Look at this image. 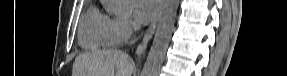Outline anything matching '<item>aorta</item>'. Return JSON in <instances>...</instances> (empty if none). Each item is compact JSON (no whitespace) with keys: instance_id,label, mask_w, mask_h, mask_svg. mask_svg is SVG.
<instances>
[{"instance_id":"aorta-1","label":"aorta","mask_w":287,"mask_h":76,"mask_svg":"<svg viewBox=\"0 0 287 76\" xmlns=\"http://www.w3.org/2000/svg\"><path fill=\"white\" fill-rule=\"evenodd\" d=\"M178 5L179 0L163 1L158 26L141 76H158L172 37Z\"/></svg>"}]
</instances>
